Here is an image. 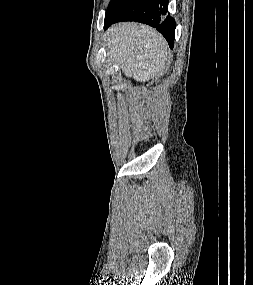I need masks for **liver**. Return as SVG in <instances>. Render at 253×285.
Returning a JSON list of instances; mask_svg holds the SVG:
<instances>
[{
    "label": "liver",
    "instance_id": "obj_1",
    "mask_svg": "<svg viewBox=\"0 0 253 285\" xmlns=\"http://www.w3.org/2000/svg\"><path fill=\"white\" fill-rule=\"evenodd\" d=\"M110 55L127 77L145 82L165 67L169 52L163 36L137 23H118L107 31Z\"/></svg>",
    "mask_w": 253,
    "mask_h": 285
}]
</instances>
